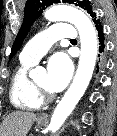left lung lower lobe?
Here are the masks:
<instances>
[{"mask_svg": "<svg viewBox=\"0 0 117 136\" xmlns=\"http://www.w3.org/2000/svg\"><path fill=\"white\" fill-rule=\"evenodd\" d=\"M92 21L94 22L96 34H97V40H98V65H97V71L103 70L106 65V46H105V34L103 32V26L101 25V22L99 19H97L96 15L92 16Z\"/></svg>", "mask_w": 117, "mask_h": 136, "instance_id": "obj_1", "label": "left lung lower lobe"}]
</instances>
